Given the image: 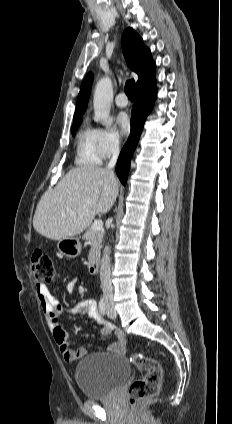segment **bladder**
<instances>
[{
  "mask_svg": "<svg viewBox=\"0 0 232 424\" xmlns=\"http://www.w3.org/2000/svg\"><path fill=\"white\" fill-rule=\"evenodd\" d=\"M130 375L131 366L125 357L100 353L84 357L75 371L78 388L88 399L109 398Z\"/></svg>",
  "mask_w": 232,
  "mask_h": 424,
  "instance_id": "1",
  "label": "bladder"
}]
</instances>
